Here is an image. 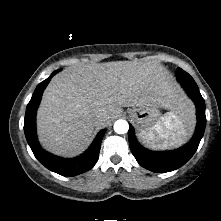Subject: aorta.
Returning a JSON list of instances; mask_svg holds the SVG:
<instances>
[{
  "label": "aorta",
  "mask_w": 221,
  "mask_h": 221,
  "mask_svg": "<svg viewBox=\"0 0 221 221\" xmlns=\"http://www.w3.org/2000/svg\"><path fill=\"white\" fill-rule=\"evenodd\" d=\"M129 129V124L126 120H117L114 123V131L118 134L127 133Z\"/></svg>",
  "instance_id": "1"
}]
</instances>
